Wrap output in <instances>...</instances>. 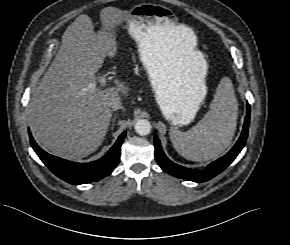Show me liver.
I'll return each instance as SVG.
<instances>
[{
  "label": "liver",
  "instance_id": "6515ba94",
  "mask_svg": "<svg viewBox=\"0 0 290 245\" xmlns=\"http://www.w3.org/2000/svg\"><path fill=\"white\" fill-rule=\"evenodd\" d=\"M102 28L94 32L92 20L80 15L65 31L62 45L31 98L28 118L32 133L42 147L55 155L80 160L101 145L112 117L110 103L125 98L129 88L89 89L96 85V72L106 56L117 54L115 28L125 17L117 10L101 12ZM184 28L168 32L172 55L180 69L189 65L195 53Z\"/></svg>",
  "mask_w": 290,
  "mask_h": 245
}]
</instances>
